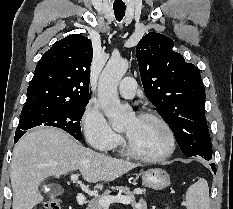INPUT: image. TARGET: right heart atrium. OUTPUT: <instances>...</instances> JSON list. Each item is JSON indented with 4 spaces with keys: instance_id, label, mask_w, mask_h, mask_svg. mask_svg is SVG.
<instances>
[{
    "instance_id": "1",
    "label": "right heart atrium",
    "mask_w": 233,
    "mask_h": 209,
    "mask_svg": "<svg viewBox=\"0 0 233 209\" xmlns=\"http://www.w3.org/2000/svg\"><path fill=\"white\" fill-rule=\"evenodd\" d=\"M81 126L87 143L96 150L109 151L121 143V136L110 127L95 101L85 107Z\"/></svg>"
}]
</instances>
